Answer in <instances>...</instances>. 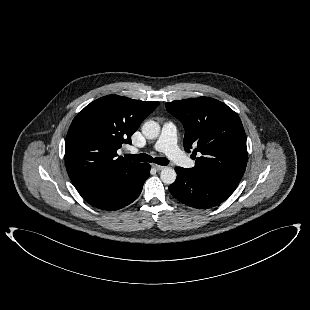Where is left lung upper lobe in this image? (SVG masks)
Masks as SVG:
<instances>
[{"mask_svg":"<svg viewBox=\"0 0 310 310\" xmlns=\"http://www.w3.org/2000/svg\"><path fill=\"white\" fill-rule=\"evenodd\" d=\"M166 109L184 128V148L196 155L194 173L237 186L245 172L246 134L239 116L226 104L208 97L176 100Z\"/></svg>","mask_w":310,"mask_h":310,"instance_id":"1","label":"left lung upper lobe"}]
</instances>
